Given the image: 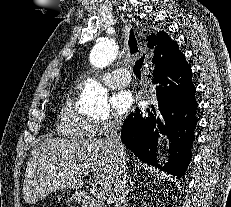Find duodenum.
Listing matches in <instances>:
<instances>
[{"mask_svg":"<svg viewBox=\"0 0 231 207\" xmlns=\"http://www.w3.org/2000/svg\"><path fill=\"white\" fill-rule=\"evenodd\" d=\"M78 200L80 201L82 207H95V201L91 195L85 192L78 194Z\"/></svg>","mask_w":231,"mask_h":207,"instance_id":"1","label":"duodenum"}]
</instances>
